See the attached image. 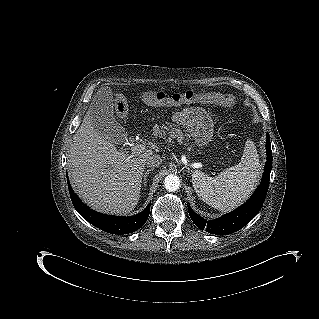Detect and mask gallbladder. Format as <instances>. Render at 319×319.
<instances>
[{"instance_id": "gallbladder-1", "label": "gallbladder", "mask_w": 319, "mask_h": 319, "mask_svg": "<svg viewBox=\"0 0 319 319\" xmlns=\"http://www.w3.org/2000/svg\"><path fill=\"white\" fill-rule=\"evenodd\" d=\"M91 117L95 129L104 137H122L126 135L124 128L114 116L111 90L105 88L97 94L91 105Z\"/></svg>"}]
</instances>
